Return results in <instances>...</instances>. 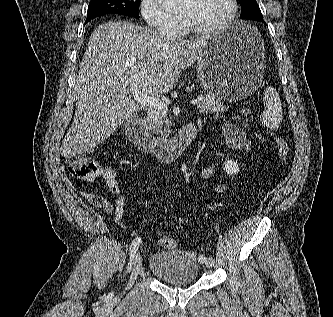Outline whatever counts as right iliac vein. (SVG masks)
Here are the masks:
<instances>
[{
    "label": "right iliac vein",
    "instance_id": "obj_1",
    "mask_svg": "<svg viewBox=\"0 0 333 317\" xmlns=\"http://www.w3.org/2000/svg\"><path fill=\"white\" fill-rule=\"evenodd\" d=\"M142 264H143L142 256H141V254L137 253L134 258L133 268H132V272H131L130 279L128 281L126 290L130 289L133 286V284L135 283V281L138 277V274L141 270Z\"/></svg>",
    "mask_w": 333,
    "mask_h": 317
}]
</instances>
